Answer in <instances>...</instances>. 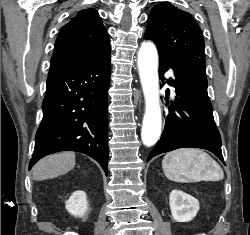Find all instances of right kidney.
<instances>
[{"label": "right kidney", "instance_id": "1", "mask_svg": "<svg viewBox=\"0 0 250 235\" xmlns=\"http://www.w3.org/2000/svg\"><path fill=\"white\" fill-rule=\"evenodd\" d=\"M66 209L76 217L85 215L88 209L86 193L81 190L75 191L67 200Z\"/></svg>", "mask_w": 250, "mask_h": 235}]
</instances>
